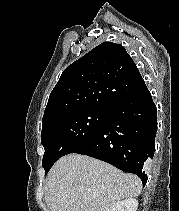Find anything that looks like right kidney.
Instances as JSON below:
<instances>
[{
	"instance_id": "right-kidney-1",
	"label": "right kidney",
	"mask_w": 179,
	"mask_h": 211,
	"mask_svg": "<svg viewBox=\"0 0 179 211\" xmlns=\"http://www.w3.org/2000/svg\"><path fill=\"white\" fill-rule=\"evenodd\" d=\"M137 208L138 200L135 198H128L115 203L108 211H137Z\"/></svg>"
}]
</instances>
